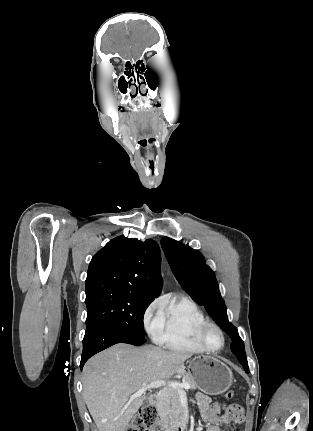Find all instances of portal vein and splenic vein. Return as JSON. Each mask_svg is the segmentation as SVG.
Returning <instances> with one entry per match:
<instances>
[{
    "label": "portal vein and splenic vein",
    "mask_w": 313,
    "mask_h": 431,
    "mask_svg": "<svg viewBox=\"0 0 313 431\" xmlns=\"http://www.w3.org/2000/svg\"><path fill=\"white\" fill-rule=\"evenodd\" d=\"M163 386L171 387L174 389H177L179 392V395H185V390L190 389V385L188 383H179L175 381H165V380H157L153 381L147 385H144L141 389H139L134 395L131 396V398H136L144 394L149 389H157Z\"/></svg>",
    "instance_id": "obj_1"
}]
</instances>
